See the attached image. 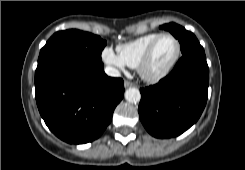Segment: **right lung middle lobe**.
<instances>
[{
	"label": "right lung middle lobe",
	"mask_w": 245,
	"mask_h": 170,
	"mask_svg": "<svg viewBox=\"0 0 245 170\" xmlns=\"http://www.w3.org/2000/svg\"><path fill=\"white\" fill-rule=\"evenodd\" d=\"M106 41L99 36L80 30L56 32L41 49L35 77L54 63L67 58L101 61Z\"/></svg>",
	"instance_id": "dd1d6c3e"
}]
</instances>
